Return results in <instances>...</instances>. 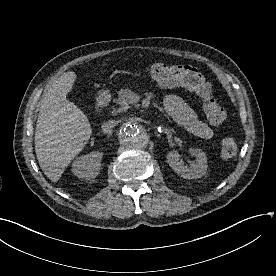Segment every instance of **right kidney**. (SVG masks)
Instances as JSON below:
<instances>
[{
	"instance_id": "ca27d5eb",
	"label": "right kidney",
	"mask_w": 276,
	"mask_h": 276,
	"mask_svg": "<svg viewBox=\"0 0 276 276\" xmlns=\"http://www.w3.org/2000/svg\"><path fill=\"white\" fill-rule=\"evenodd\" d=\"M102 154L91 152L90 154L78 157L72 164V172L80 179H94L100 171Z\"/></svg>"
}]
</instances>
